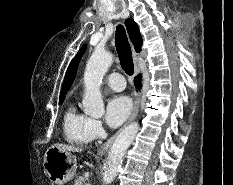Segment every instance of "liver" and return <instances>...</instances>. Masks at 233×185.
I'll list each match as a JSON object with an SVG mask.
<instances>
[{
	"instance_id": "6515ba94",
	"label": "liver",
	"mask_w": 233,
	"mask_h": 185,
	"mask_svg": "<svg viewBox=\"0 0 233 185\" xmlns=\"http://www.w3.org/2000/svg\"><path fill=\"white\" fill-rule=\"evenodd\" d=\"M53 146L57 147L60 150L68 151V152H81L83 150L82 148H79V147H74L71 145L59 144V143H56Z\"/></svg>"
}]
</instances>
